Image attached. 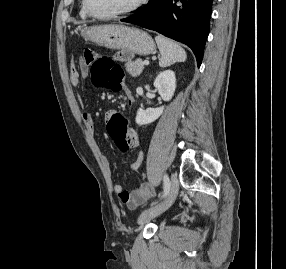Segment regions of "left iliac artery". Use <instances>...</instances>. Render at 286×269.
Segmentation results:
<instances>
[{
    "label": "left iliac artery",
    "mask_w": 286,
    "mask_h": 269,
    "mask_svg": "<svg viewBox=\"0 0 286 269\" xmlns=\"http://www.w3.org/2000/svg\"><path fill=\"white\" fill-rule=\"evenodd\" d=\"M163 182H164L163 183L164 184V191H163L162 197H165L168 194L169 189H170V180H169L168 175H164Z\"/></svg>",
    "instance_id": "1"
}]
</instances>
